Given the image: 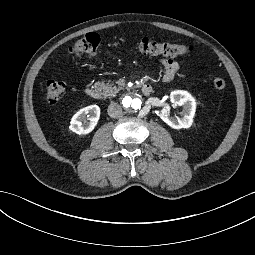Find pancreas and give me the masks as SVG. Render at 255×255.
<instances>
[{"instance_id":"1","label":"pancreas","mask_w":255,"mask_h":255,"mask_svg":"<svg viewBox=\"0 0 255 255\" xmlns=\"http://www.w3.org/2000/svg\"><path fill=\"white\" fill-rule=\"evenodd\" d=\"M97 86L100 88L105 98L113 97L121 90V87L118 88L115 84L106 83L105 80L97 82Z\"/></svg>"}]
</instances>
